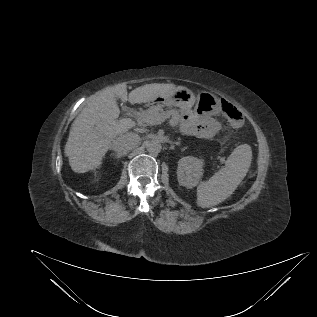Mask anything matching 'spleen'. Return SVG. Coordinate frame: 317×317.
Returning a JSON list of instances; mask_svg holds the SVG:
<instances>
[{
	"mask_svg": "<svg viewBox=\"0 0 317 317\" xmlns=\"http://www.w3.org/2000/svg\"><path fill=\"white\" fill-rule=\"evenodd\" d=\"M251 160L252 150L248 144L235 148L225 165L197 187L198 206L209 208L227 199L246 176Z\"/></svg>",
	"mask_w": 317,
	"mask_h": 317,
	"instance_id": "spleen-1",
	"label": "spleen"
}]
</instances>
